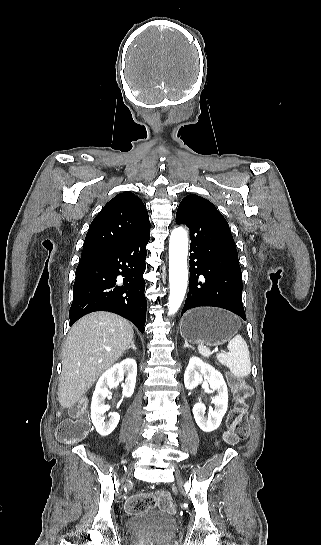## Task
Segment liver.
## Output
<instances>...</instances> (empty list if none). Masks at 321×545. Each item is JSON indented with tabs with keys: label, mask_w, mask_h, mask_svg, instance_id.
<instances>
[{
	"label": "liver",
	"mask_w": 321,
	"mask_h": 545,
	"mask_svg": "<svg viewBox=\"0 0 321 545\" xmlns=\"http://www.w3.org/2000/svg\"><path fill=\"white\" fill-rule=\"evenodd\" d=\"M134 331L113 313H90L70 329L62 353L58 399L70 409L132 343Z\"/></svg>",
	"instance_id": "liver-1"
}]
</instances>
